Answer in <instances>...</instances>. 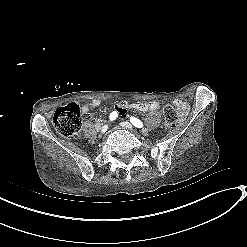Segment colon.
Returning a JSON list of instances; mask_svg holds the SVG:
<instances>
[{
  "mask_svg": "<svg viewBox=\"0 0 247 247\" xmlns=\"http://www.w3.org/2000/svg\"><path fill=\"white\" fill-rule=\"evenodd\" d=\"M164 122L167 127H174L178 120V112L173 105L166 104L162 108ZM53 125L63 136H73L82 126V113L77 105L58 108L53 115Z\"/></svg>",
  "mask_w": 247,
  "mask_h": 247,
  "instance_id": "5ec220e1",
  "label": "colon"
}]
</instances>
